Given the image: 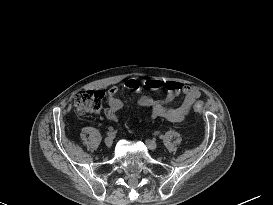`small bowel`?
<instances>
[{
    "mask_svg": "<svg viewBox=\"0 0 273 205\" xmlns=\"http://www.w3.org/2000/svg\"><path fill=\"white\" fill-rule=\"evenodd\" d=\"M123 87L137 93V103L150 109L151 118H165L170 121H182L190 112L194 102L201 96L198 88L177 81L163 82L154 78L147 79L141 83L137 79H128ZM158 89L165 88L167 95L164 99H154L143 93V88ZM119 89L114 87L107 92L109 107L104 109V116L113 122L118 121L123 110V103L117 97ZM181 98L178 105H172L177 99Z\"/></svg>",
    "mask_w": 273,
    "mask_h": 205,
    "instance_id": "small-bowel-1",
    "label": "small bowel"
}]
</instances>
